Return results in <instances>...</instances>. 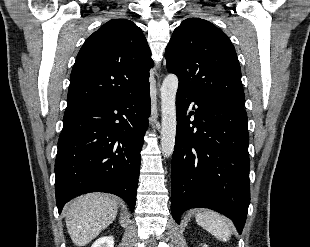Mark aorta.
<instances>
[{
    "label": "aorta",
    "instance_id": "1",
    "mask_svg": "<svg viewBox=\"0 0 310 247\" xmlns=\"http://www.w3.org/2000/svg\"><path fill=\"white\" fill-rule=\"evenodd\" d=\"M178 89V78L169 74L163 80L161 86V150L164 157L172 156L176 137V93Z\"/></svg>",
    "mask_w": 310,
    "mask_h": 247
}]
</instances>
